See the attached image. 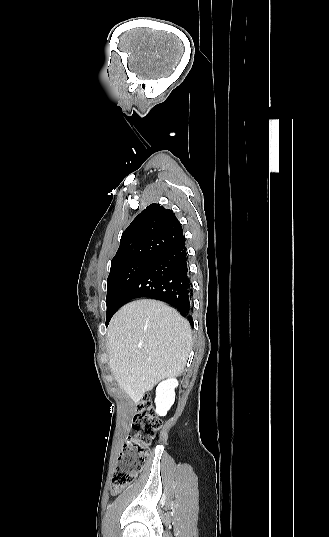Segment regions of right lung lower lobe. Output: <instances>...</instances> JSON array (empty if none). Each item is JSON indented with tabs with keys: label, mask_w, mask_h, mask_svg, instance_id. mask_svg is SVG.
Here are the masks:
<instances>
[{
	"label": "right lung lower lobe",
	"mask_w": 329,
	"mask_h": 537,
	"mask_svg": "<svg viewBox=\"0 0 329 537\" xmlns=\"http://www.w3.org/2000/svg\"><path fill=\"white\" fill-rule=\"evenodd\" d=\"M139 297L167 302L192 322L193 289L185 238L151 261L125 292L121 305Z\"/></svg>",
	"instance_id": "98d812e1"
}]
</instances>
